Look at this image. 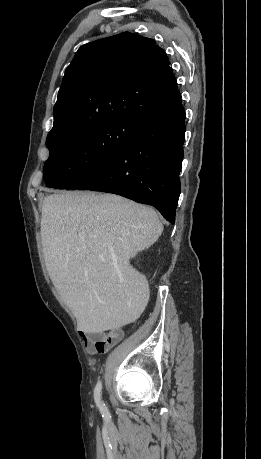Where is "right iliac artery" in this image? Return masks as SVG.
<instances>
[{
	"label": "right iliac artery",
	"mask_w": 261,
	"mask_h": 459,
	"mask_svg": "<svg viewBox=\"0 0 261 459\" xmlns=\"http://www.w3.org/2000/svg\"><path fill=\"white\" fill-rule=\"evenodd\" d=\"M101 390H102V384H101V382H98L96 387H95V390H94V399H95L96 404L99 407L100 411L103 414H106L107 413L106 406H105L104 402L101 400Z\"/></svg>",
	"instance_id": "obj_1"
}]
</instances>
